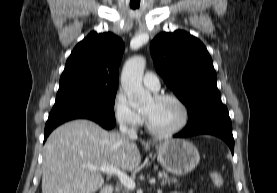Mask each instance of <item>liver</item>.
Returning <instances> with one entry per match:
<instances>
[{
  "mask_svg": "<svg viewBox=\"0 0 277 193\" xmlns=\"http://www.w3.org/2000/svg\"><path fill=\"white\" fill-rule=\"evenodd\" d=\"M140 162L132 138L89 120H74L55 129L45 143L42 193H94L104 178L88 166L133 170Z\"/></svg>",
  "mask_w": 277,
  "mask_h": 193,
  "instance_id": "liver-1",
  "label": "liver"
}]
</instances>
